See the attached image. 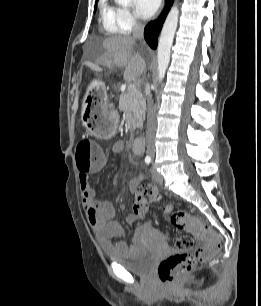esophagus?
Returning <instances> with one entry per match:
<instances>
[{"label":"esophagus","instance_id":"1","mask_svg":"<svg viewBox=\"0 0 261 306\" xmlns=\"http://www.w3.org/2000/svg\"><path fill=\"white\" fill-rule=\"evenodd\" d=\"M163 8H164V5H162V7H161L159 13L157 14L156 18L160 15V13L162 12Z\"/></svg>","mask_w":261,"mask_h":306}]
</instances>
